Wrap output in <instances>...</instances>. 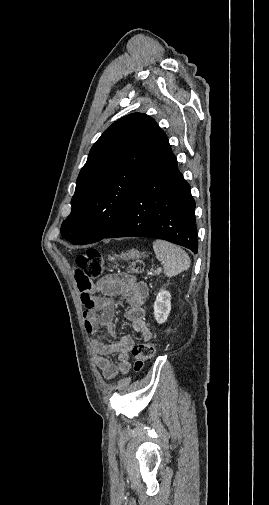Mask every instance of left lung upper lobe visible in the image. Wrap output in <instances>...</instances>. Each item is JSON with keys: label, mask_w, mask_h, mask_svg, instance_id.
<instances>
[{"label": "left lung upper lobe", "mask_w": 269, "mask_h": 505, "mask_svg": "<svg viewBox=\"0 0 269 505\" xmlns=\"http://www.w3.org/2000/svg\"><path fill=\"white\" fill-rule=\"evenodd\" d=\"M160 131L151 117L133 113L101 135L77 178L71 214L61 226L63 238L84 245L103 239L114 228Z\"/></svg>", "instance_id": "obj_1"}]
</instances>
